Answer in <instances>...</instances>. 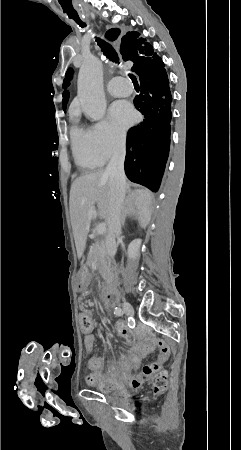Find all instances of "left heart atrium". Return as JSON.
<instances>
[{"label":"left heart atrium","instance_id":"39dd6f15","mask_svg":"<svg viewBox=\"0 0 241 450\" xmlns=\"http://www.w3.org/2000/svg\"><path fill=\"white\" fill-rule=\"evenodd\" d=\"M112 123L119 129H127L134 121V111L132 106L126 101L113 103L109 110Z\"/></svg>","mask_w":241,"mask_h":450}]
</instances>
